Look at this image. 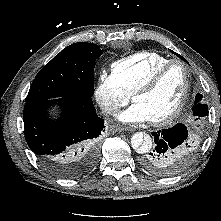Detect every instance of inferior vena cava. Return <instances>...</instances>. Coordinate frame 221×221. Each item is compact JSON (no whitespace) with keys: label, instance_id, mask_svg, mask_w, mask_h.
I'll list each match as a JSON object with an SVG mask.
<instances>
[{"label":"inferior vena cava","instance_id":"602c4592","mask_svg":"<svg viewBox=\"0 0 221 221\" xmlns=\"http://www.w3.org/2000/svg\"><path fill=\"white\" fill-rule=\"evenodd\" d=\"M102 111H103L104 113H107V114H114V113H116L118 110H117V108H115V107L112 106V105H106V106H103V107H102Z\"/></svg>","mask_w":221,"mask_h":221}]
</instances>
